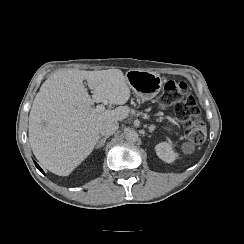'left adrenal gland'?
Here are the masks:
<instances>
[{"label": "left adrenal gland", "mask_w": 244, "mask_h": 244, "mask_svg": "<svg viewBox=\"0 0 244 244\" xmlns=\"http://www.w3.org/2000/svg\"><path fill=\"white\" fill-rule=\"evenodd\" d=\"M149 131L152 132V128L151 127H149Z\"/></svg>", "instance_id": "1"}]
</instances>
